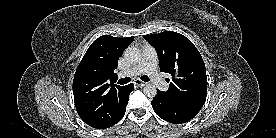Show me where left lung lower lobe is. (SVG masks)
I'll return each mask as SVG.
<instances>
[{
	"instance_id": "obj_1",
	"label": "left lung lower lobe",
	"mask_w": 276,
	"mask_h": 138,
	"mask_svg": "<svg viewBox=\"0 0 276 138\" xmlns=\"http://www.w3.org/2000/svg\"><path fill=\"white\" fill-rule=\"evenodd\" d=\"M154 112L163 120L170 123H184L193 119L200 109L185 105L168 98L164 92L159 91L151 101Z\"/></svg>"
}]
</instances>
